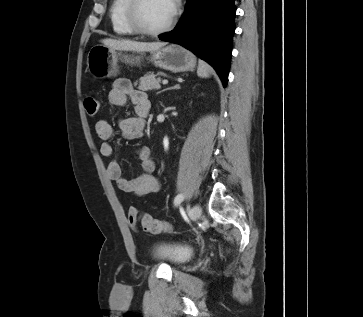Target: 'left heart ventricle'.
Instances as JSON below:
<instances>
[{
    "label": "left heart ventricle",
    "instance_id": "left-heart-ventricle-1",
    "mask_svg": "<svg viewBox=\"0 0 363 317\" xmlns=\"http://www.w3.org/2000/svg\"><path fill=\"white\" fill-rule=\"evenodd\" d=\"M172 11L173 4L170 0H142L138 19L143 27L156 30L167 23Z\"/></svg>",
    "mask_w": 363,
    "mask_h": 317
}]
</instances>
